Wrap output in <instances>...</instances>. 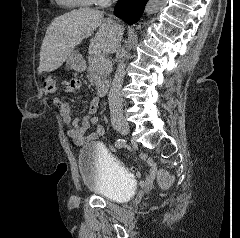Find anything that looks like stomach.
Wrapping results in <instances>:
<instances>
[{
    "instance_id": "1",
    "label": "stomach",
    "mask_w": 240,
    "mask_h": 238,
    "mask_svg": "<svg viewBox=\"0 0 240 238\" xmlns=\"http://www.w3.org/2000/svg\"><path fill=\"white\" fill-rule=\"evenodd\" d=\"M65 69H73L75 71H83L85 69V62L78 51H73L67 58Z\"/></svg>"
}]
</instances>
